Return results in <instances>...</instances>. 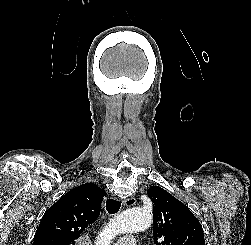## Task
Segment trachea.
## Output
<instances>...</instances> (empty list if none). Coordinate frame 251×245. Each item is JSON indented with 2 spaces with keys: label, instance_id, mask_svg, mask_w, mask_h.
Listing matches in <instances>:
<instances>
[{
  "label": "trachea",
  "instance_id": "3493384b",
  "mask_svg": "<svg viewBox=\"0 0 251 245\" xmlns=\"http://www.w3.org/2000/svg\"><path fill=\"white\" fill-rule=\"evenodd\" d=\"M121 206V202L114 200V199H108L106 201V210L110 214H115L119 211Z\"/></svg>",
  "mask_w": 251,
  "mask_h": 245
}]
</instances>
